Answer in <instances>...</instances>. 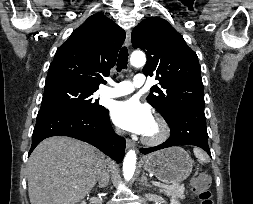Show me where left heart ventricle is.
<instances>
[{"instance_id": "1", "label": "left heart ventricle", "mask_w": 253, "mask_h": 204, "mask_svg": "<svg viewBox=\"0 0 253 204\" xmlns=\"http://www.w3.org/2000/svg\"><path fill=\"white\" fill-rule=\"evenodd\" d=\"M158 132H159L158 126L153 121V123L151 124V126L148 128V130L146 131V133L144 135H146L148 137H154L158 134Z\"/></svg>"}]
</instances>
